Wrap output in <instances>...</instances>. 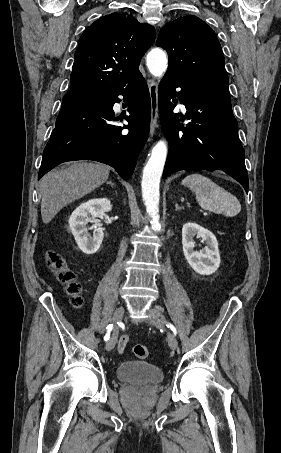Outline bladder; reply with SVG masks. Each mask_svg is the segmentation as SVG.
I'll list each match as a JSON object with an SVG mask.
<instances>
[{"instance_id": "31cf9c89", "label": "bladder", "mask_w": 281, "mask_h": 453, "mask_svg": "<svg viewBox=\"0 0 281 453\" xmlns=\"http://www.w3.org/2000/svg\"><path fill=\"white\" fill-rule=\"evenodd\" d=\"M117 376L123 381L155 384L163 380V372L156 366L144 362L128 361L117 367Z\"/></svg>"}]
</instances>
